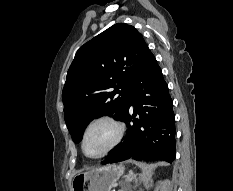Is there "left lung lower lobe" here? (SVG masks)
<instances>
[{
	"mask_svg": "<svg viewBox=\"0 0 233 191\" xmlns=\"http://www.w3.org/2000/svg\"><path fill=\"white\" fill-rule=\"evenodd\" d=\"M130 106L134 107L132 116L129 115ZM121 120L127 123V137L103 164L130 158L165 160L170 163L175 159L173 103L162 71L152 53L146 57L132 80Z\"/></svg>",
	"mask_w": 233,
	"mask_h": 191,
	"instance_id": "obj_1",
	"label": "left lung lower lobe"
}]
</instances>
